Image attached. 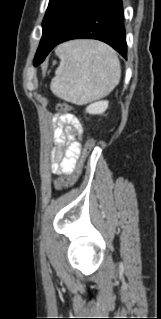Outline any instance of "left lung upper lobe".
<instances>
[{
  "label": "left lung upper lobe",
  "instance_id": "left-lung-upper-lobe-1",
  "mask_svg": "<svg viewBox=\"0 0 161 319\" xmlns=\"http://www.w3.org/2000/svg\"><path fill=\"white\" fill-rule=\"evenodd\" d=\"M100 0H50L42 22L43 35L34 65L45 59V52Z\"/></svg>",
  "mask_w": 161,
  "mask_h": 319
}]
</instances>
